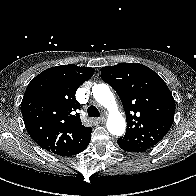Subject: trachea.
I'll list each match as a JSON object with an SVG mask.
<instances>
[{
    "instance_id": "1",
    "label": "trachea",
    "mask_w": 196,
    "mask_h": 196,
    "mask_svg": "<svg viewBox=\"0 0 196 196\" xmlns=\"http://www.w3.org/2000/svg\"><path fill=\"white\" fill-rule=\"evenodd\" d=\"M87 113H88L89 117L98 118L100 116L99 110L94 105H91V106L88 107Z\"/></svg>"
}]
</instances>
